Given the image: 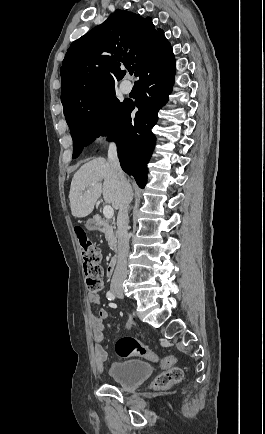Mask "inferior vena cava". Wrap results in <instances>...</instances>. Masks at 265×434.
<instances>
[{"label": "inferior vena cava", "mask_w": 265, "mask_h": 434, "mask_svg": "<svg viewBox=\"0 0 265 434\" xmlns=\"http://www.w3.org/2000/svg\"><path fill=\"white\" fill-rule=\"evenodd\" d=\"M108 162L114 170L117 172V176L120 180L121 186V204L118 214V254H117V266L112 278V284H118V282H124L127 276V258L129 252V234H128V208L130 202L133 200V190L128 184L123 172L120 168L116 144H110L108 150Z\"/></svg>", "instance_id": "602c4592"}]
</instances>
